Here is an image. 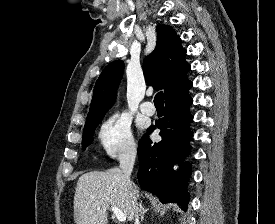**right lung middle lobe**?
Returning a JSON list of instances; mask_svg holds the SVG:
<instances>
[{
    "mask_svg": "<svg viewBox=\"0 0 275 224\" xmlns=\"http://www.w3.org/2000/svg\"><path fill=\"white\" fill-rule=\"evenodd\" d=\"M102 119L103 118L98 119V120H96V121H94V122H92L88 125H85L84 132H83V137H82V147H83V149H85L89 145V143L91 142L94 130L97 127L98 123Z\"/></svg>",
    "mask_w": 275,
    "mask_h": 224,
    "instance_id": "right-lung-middle-lobe-1",
    "label": "right lung middle lobe"
}]
</instances>
